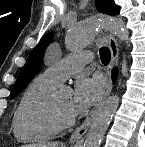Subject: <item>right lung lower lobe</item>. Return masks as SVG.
<instances>
[{"mask_svg":"<svg viewBox=\"0 0 145 147\" xmlns=\"http://www.w3.org/2000/svg\"><path fill=\"white\" fill-rule=\"evenodd\" d=\"M116 75H117V71L114 69V70H113V80L116 79Z\"/></svg>","mask_w":145,"mask_h":147,"instance_id":"98d812e1","label":"right lung lower lobe"}]
</instances>
